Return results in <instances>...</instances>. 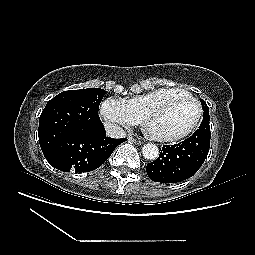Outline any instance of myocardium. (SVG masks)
<instances>
[{
	"instance_id": "f54148a6",
	"label": "myocardium",
	"mask_w": 255,
	"mask_h": 255,
	"mask_svg": "<svg viewBox=\"0 0 255 255\" xmlns=\"http://www.w3.org/2000/svg\"><path fill=\"white\" fill-rule=\"evenodd\" d=\"M175 97H184V98L190 100L197 108L196 117H195L193 123L186 130H184L181 133L174 134V135H156V134L148 133L149 136L151 138H153L154 140L163 141V142H173V141L180 140V139L188 136L189 134H191L194 131V129L197 127V125L199 124V122L202 118L203 110H202V106H201L200 102L189 92L181 90V91L173 92V93L165 96L160 101H158L156 104H154L152 107H150L146 111V113L144 114V116L141 120L143 126L145 127L148 119L154 113H156L161 107H163L166 103H168Z\"/></svg>"
}]
</instances>
